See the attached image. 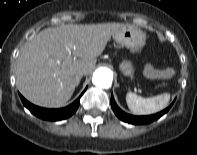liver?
<instances>
[{"mask_svg":"<svg viewBox=\"0 0 197 155\" xmlns=\"http://www.w3.org/2000/svg\"><path fill=\"white\" fill-rule=\"evenodd\" d=\"M123 26L120 23L68 24L44 29L18 56L15 74L19 92L41 107L62 106L80 82L78 71L85 69L90 74L110 37ZM68 46L73 48L68 51Z\"/></svg>","mask_w":197,"mask_h":155,"instance_id":"1","label":"liver"}]
</instances>
